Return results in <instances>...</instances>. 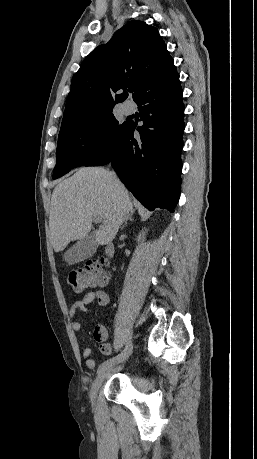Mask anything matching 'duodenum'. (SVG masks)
I'll list each match as a JSON object with an SVG mask.
<instances>
[{
	"instance_id": "duodenum-1",
	"label": "duodenum",
	"mask_w": 257,
	"mask_h": 459,
	"mask_svg": "<svg viewBox=\"0 0 257 459\" xmlns=\"http://www.w3.org/2000/svg\"><path fill=\"white\" fill-rule=\"evenodd\" d=\"M105 249H106L107 253H109V254L112 253V248H111V244L110 243H106L105 244Z\"/></svg>"
}]
</instances>
